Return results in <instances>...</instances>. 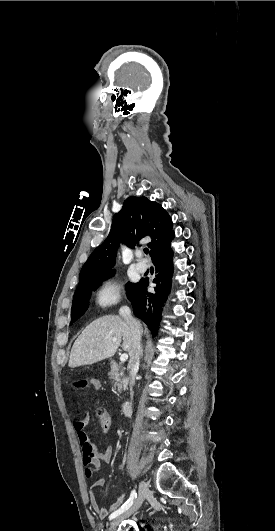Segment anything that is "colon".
<instances>
[{"label":"colon","mask_w":275,"mask_h":531,"mask_svg":"<svg viewBox=\"0 0 275 531\" xmlns=\"http://www.w3.org/2000/svg\"><path fill=\"white\" fill-rule=\"evenodd\" d=\"M97 419L102 430H108L111 427V417L107 411L99 409Z\"/></svg>","instance_id":"obj_1"}]
</instances>
